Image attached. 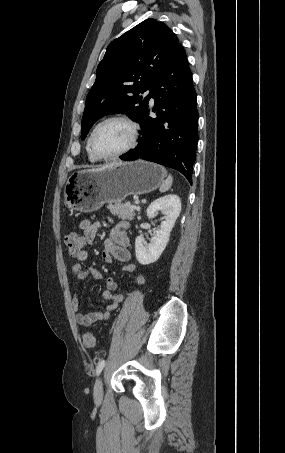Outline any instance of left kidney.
Segmentation results:
<instances>
[{
    "instance_id": "1",
    "label": "left kidney",
    "mask_w": 285,
    "mask_h": 453,
    "mask_svg": "<svg viewBox=\"0 0 285 453\" xmlns=\"http://www.w3.org/2000/svg\"><path fill=\"white\" fill-rule=\"evenodd\" d=\"M158 212L165 217L159 229L154 233L147 244L142 236L135 240V254L137 261L142 265L151 264L159 259L169 241L170 232L181 212V200L175 194H169L153 201L147 208L148 218H154Z\"/></svg>"
}]
</instances>
